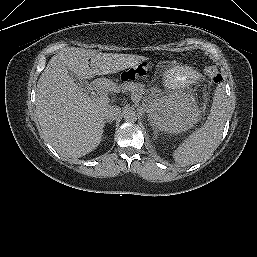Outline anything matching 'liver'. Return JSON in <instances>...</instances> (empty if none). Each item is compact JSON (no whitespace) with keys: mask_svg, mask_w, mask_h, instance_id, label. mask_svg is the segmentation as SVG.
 Here are the masks:
<instances>
[{"mask_svg":"<svg viewBox=\"0 0 257 257\" xmlns=\"http://www.w3.org/2000/svg\"><path fill=\"white\" fill-rule=\"evenodd\" d=\"M142 59L75 47L55 54L42 72L36 92V113L45 140L66 158H81L96 149L105 125L101 111L109 101L94 102L69 71L90 79L134 67Z\"/></svg>","mask_w":257,"mask_h":257,"instance_id":"1","label":"liver"}]
</instances>
